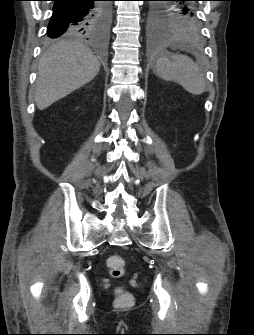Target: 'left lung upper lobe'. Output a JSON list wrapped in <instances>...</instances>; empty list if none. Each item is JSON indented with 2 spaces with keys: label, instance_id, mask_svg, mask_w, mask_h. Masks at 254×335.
<instances>
[{
  "label": "left lung upper lobe",
  "instance_id": "5c2ea615",
  "mask_svg": "<svg viewBox=\"0 0 254 335\" xmlns=\"http://www.w3.org/2000/svg\"><path fill=\"white\" fill-rule=\"evenodd\" d=\"M148 27L152 34L196 33L199 19L195 1L197 0H147Z\"/></svg>",
  "mask_w": 254,
  "mask_h": 335
}]
</instances>
